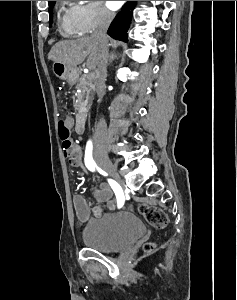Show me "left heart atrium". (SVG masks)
<instances>
[{"label":"left heart atrium","mask_w":237,"mask_h":300,"mask_svg":"<svg viewBox=\"0 0 237 300\" xmlns=\"http://www.w3.org/2000/svg\"><path fill=\"white\" fill-rule=\"evenodd\" d=\"M123 3H124V1H107V6H108L110 9L116 10V9H118Z\"/></svg>","instance_id":"left-heart-atrium-1"}]
</instances>
